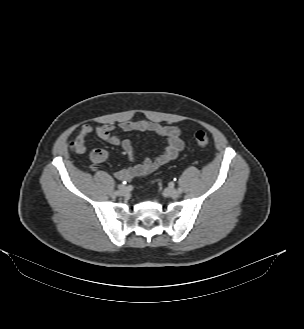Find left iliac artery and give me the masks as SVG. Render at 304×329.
<instances>
[{
	"label": "left iliac artery",
	"instance_id": "1",
	"mask_svg": "<svg viewBox=\"0 0 304 329\" xmlns=\"http://www.w3.org/2000/svg\"><path fill=\"white\" fill-rule=\"evenodd\" d=\"M178 192L181 193L182 192V189L181 188H178Z\"/></svg>",
	"mask_w": 304,
	"mask_h": 329
}]
</instances>
